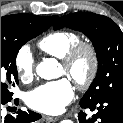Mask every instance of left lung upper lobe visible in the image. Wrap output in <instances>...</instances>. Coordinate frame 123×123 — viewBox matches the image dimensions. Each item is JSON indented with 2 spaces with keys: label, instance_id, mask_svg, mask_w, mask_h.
I'll use <instances>...</instances> for the list:
<instances>
[{
  "label": "left lung upper lobe",
  "instance_id": "5c2ea615",
  "mask_svg": "<svg viewBox=\"0 0 123 123\" xmlns=\"http://www.w3.org/2000/svg\"><path fill=\"white\" fill-rule=\"evenodd\" d=\"M53 27L83 32L95 48L97 75L81 100L123 94V33L116 23L103 15L78 12L61 17Z\"/></svg>",
  "mask_w": 123,
  "mask_h": 123
}]
</instances>
